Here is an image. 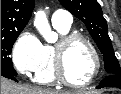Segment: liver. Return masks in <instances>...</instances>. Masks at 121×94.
Masks as SVG:
<instances>
[{"mask_svg": "<svg viewBox=\"0 0 121 94\" xmlns=\"http://www.w3.org/2000/svg\"><path fill=\"white\" fill-rule=\"evenodd\" d=\"M1 94H90L85 91H57L16 84L1 76Z\"/></svg>", "mask_w": 121, "mask_h": 94, "instance_id": "liver-1", "label": "liver"}]
</instances>
